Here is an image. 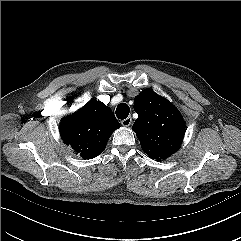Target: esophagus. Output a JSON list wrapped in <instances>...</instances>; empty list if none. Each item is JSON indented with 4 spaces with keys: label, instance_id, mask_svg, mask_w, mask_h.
Instances as JSON below:
<instances>
[{
    "label": "esophagus",
    "instance_id": "esophagus-1",
    "mask_svg": "<svg viewBox=\"0 0 241 241\" xmlns=\"http://www.w3.org/2000/svg\"><path fill=\"white\" fill-rule=\"evenodd\" d=\"M132 123V118L131 117H127L126 119L121 121V125L124 127H128L130 126Z\"/></svg>",
    "mask_w": 241,
    "mask_h": 241
}]
</instances>
